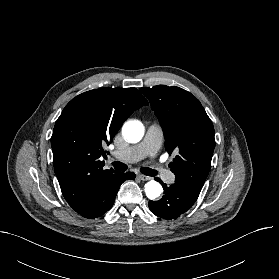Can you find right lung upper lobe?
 Here are the masks:
<instances>
[{
  "instance_id": "cb5924a9",
  "label": "right lung upper lobe",
  "mask_w": 279,
  "mask_h": 279,
  "mask_svg": "<svg viewBox=\"0 0 279 279\" xmlns=\"http://www.w3.org/2000/svg\"><path fill=\"white\" fill-rule=\"evenodd\" d=\"M148 105L135 88H100L73 98L56 121L51 145L62 194L74 209L89 203L104 170V147L135 110Z\"/></svg>"
}]
</instances>
